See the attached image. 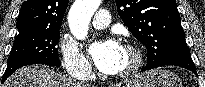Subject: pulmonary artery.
Listing matches in <instances>:
<instances>
[{"label":"pulmonary artery","instance_id":"pulmonary-artery-1","mask_svg":"<svg viewBox=\"0 0 205 87\" xmlns=\"http://www.w3.org/2000/svg\"><path fill=\"white\" fill-rule=\"evenodd\" d=\"M111 21V16L107 10H98L92 18V25L97 29L106 28Z\"/></svg>","mask_w":205,"mask_h":87}]
</instances>
